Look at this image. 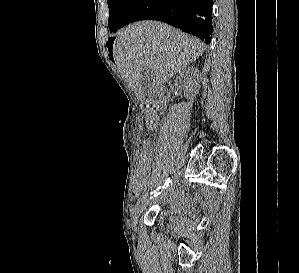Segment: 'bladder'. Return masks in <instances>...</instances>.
<instances>
[{
	"label": "bladder",
	"mask_w": 299,
	"mask_h": 273,
	"mask_svg": "<svg viewBox=\"0 0 299 273\" xmlns=\"http://www.w3.org/2000/svg\"><path fill=\"white\" fill-rule=\"evenodd\" d=\"M163 213L168 223H173L177 218L176 214L172 210H165Z\"/></svg>",
	"instance_id": "1"
}]
</instances>
